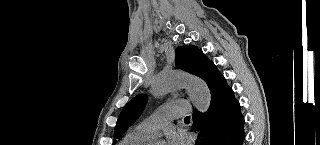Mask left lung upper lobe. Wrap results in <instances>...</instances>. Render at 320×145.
Wrapping results in <instances>:
<instances>
[{"label":"left lung upper lobe","instance_id":"left-lung-upper-lobe-1","mask_svg":"<svg viewBox=\"0 0 320 145\" xmlns=\"http://www.w3.org/2000/svg\"><path fill=\"white\" fill-rule=\"evenodd\" d=\"M210 62L201 49L194 45L178 47L175 53L177 68L199 76L203 68ZM147 102V96H135L122 110L115 128L114 138L117 139L137 120Z\"/></svg>","mask_w":320,"mask_h":145}]
</instances>
